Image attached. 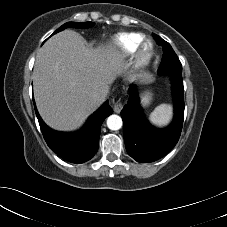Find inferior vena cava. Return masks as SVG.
Here are the masks:
<instances>
[{
    "mask_svg": "<svg viewBox=\"0 0 227 227\" xmlns=\"http://www.w3.org/2000/svg\"><path fill=\"white\" fill-rule=\"evenodd\" d=\"M92 98L95 101V103H102L106 98V93L105 92H95L92 95Z\"/></svg>",
    "mask_w": 227,
    "mask_h": 227,
    "instance_id": "inferior-vena-cava-1",
    "label": "inferior vena cava"
}]
</instances>
